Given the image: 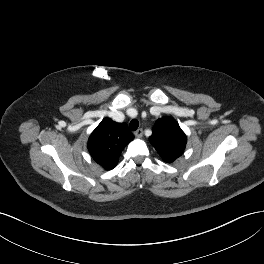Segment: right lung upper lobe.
I'll list each match as a JSON object with an SVG mask.
<instances>
[{
	"label": "right lung upper lobe",
	"mask_w": 264,
	"mask_h": 264,
	"mask_svg": "<svg viewBox=\"0 0 264 264\" xmlns=\"http://www.w3.org/2000/svg\"><path fill=\"white\" fill-rule=\"evenodd\" d=\"M125 124H118L104 118L88 140L92 158L106 170L115 168L124 147L133 140Z\"/></svg>",
	"instance_id": "right-lung-upper-lobe-1"
}]
</instances>
